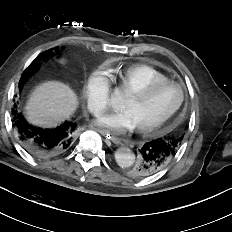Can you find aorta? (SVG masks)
<instances>
[{
	"label": "aorta",
	"mask_w": 232,
	"mask_h": 232,
	"mask_svg": "<svg viewBox=\"0 0 232 232\" xmlns=\"http://www.w3.org/2000/svg\"><path fill=\"white\" fill-rule=\"evenodd\" d=\"M111 104L115 109H119L123 105V98L118 89L111 95ZM115 160L120 167L127 168L133 165L135 154L127 147H120L115 152Z\"/></svg>",
	"instance_id": "762f6f07"
}]
</instances>
